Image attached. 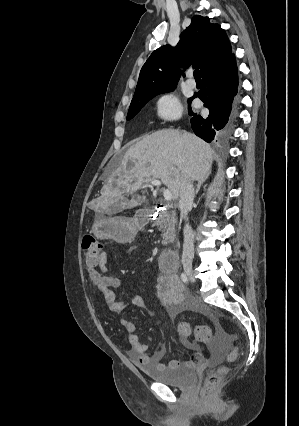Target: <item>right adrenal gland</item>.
<instances>
[{
  "label": "right adrenal gland",
  "instance_id": "2a0ac1e0",
  "mask_svg": "<svg viewBox=\"0 0 299 426\" xmlns=\"http://www.w3.org/2000/svg\"><path fill=\"white\" fill-rule=\"evenodd\" d=\"M207 178H208V177H205V178L200 179V180H198V181H197V184H196V190H195V196L198 194V192H199V190H200L201 186L205 183V181L207 180Z\"/></svg>",
  "mask_w": 299,
  "mask_h": 426
}]
</instances>
